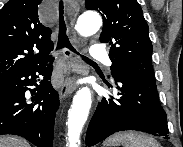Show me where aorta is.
I'll list each match as a JSON object with an SVG mask.
<instances>
[{
  "instance_id": "aorta-1",
  "label": "aorta",
  "mask_w": 183,
  "mask_h": 147,
  "mask_svg": "<svg viewBox=\"0 0 183 147\" xmlns=\"http://www.w3.org/2000/svg\"><path fill=\"white\" fill-rule=\"evenodd\" d=\"M102 25V19L95 12H84L77 20L76 30L82 36L96 33ZM92 104L91 91L88 87L79 89L68 111V147H79L80 134L87 120Z\"/></svg>"
}]
</instances>
